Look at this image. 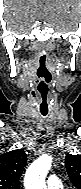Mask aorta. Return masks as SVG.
Listing matches in <instances>:
<instances>
[{"label": "aorta", "mask_w": 81, "mask_h": 189, "mask_svg": "<svg viewBox=\"0 0 81 189\" xmlns=\"http://www.w3.org/2000/svg\"><path fill=\"white\" fill-rule=\"evenodd\" d=\"M51 165L52 158L48 155H43L35 160L26 170L25 189H46L45 178Z\"/></svg>", "instance_id": "aorta-1"}]
</instances>
